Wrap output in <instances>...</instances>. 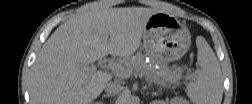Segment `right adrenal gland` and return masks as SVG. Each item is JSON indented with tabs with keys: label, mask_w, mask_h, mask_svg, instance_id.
Masks as SVG:
<instances>
[{
	"label": "right adrenal gland",
	"mask_w": 252,
	"mask_h": 104,
	"mask_svg": "<svg viewBox=\"0 0 252 104\" xmlns=\"http://www.w3.org/2000/svg\"><path fill=\"white\" fill-rule=\"evenodd\" d=\"M109 96H111L110 94H103L102 95V98H104V97H109Z\"/></svg>",
	"instance_id": "obj_1"
}]
</instances>
